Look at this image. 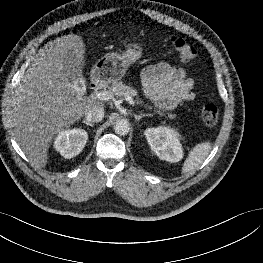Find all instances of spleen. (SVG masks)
I'll use <instances>...</instances> for the list:
<instances>
[{"mask_svg":"<svg viewBox=\"0 0 263 263\" xmlns=\"http://www.w3.org/2000/svg\"><path fill=\"white\" fill-rule=\"evenodd\" d=\"M211 150L209 142L197 144L190 152L182 167V173H188L195 170L208 156Z\"/></svg>","mask_w":263,"mask_h":263,"instance_id":"spleen-1","label":"spleen"}]
</instances>
